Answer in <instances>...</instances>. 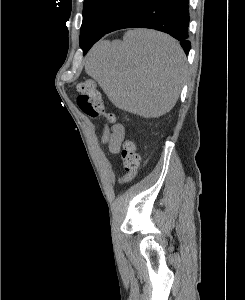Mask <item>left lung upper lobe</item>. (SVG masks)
Masks as SVG:
<instances>
[{"mask_svg":"<svg viewBox=\"0 0 245 300\" xmlns=\"http://www.w3.org/2000/svg\"><path fill=\"white\" fill-rule=\"evenodd\" d=\"M137 0H85L80 31V47L87 46L88 37L105 33L114 20Z\"/></svg>","mask_w":245,"mask_h":300,"instance_id":"left-lung-upper-lobe-1","label":"left lung upper lobe"}]
</instances>
